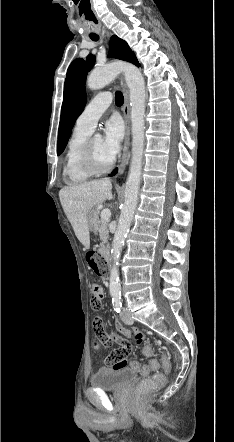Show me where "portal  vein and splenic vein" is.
I'll return each mask as SVG.
<instances>
[{
	"label": "portal vein and splenic vein",
	"mask_w": 234,
	"mask_h": 442,
	"mask_svg": "<svg viewBox=\"0 0 234 442\" xmlns=\"http://www.w3.org/2000/svg\"><path fill=\"white\" fill-rule=\"evenodd\" d=\"M111 217V211L110 209H103L101 212V219L102 220H108Z\"/></svg>",
	"instance_id": "portal-vein-and-splenic-vein-1"
}]
</instances>
